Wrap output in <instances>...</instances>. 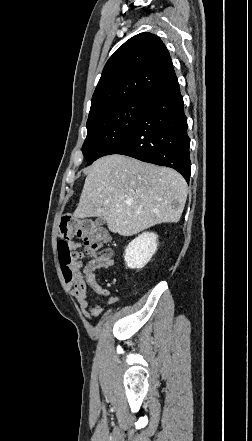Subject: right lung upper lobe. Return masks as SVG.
<instances>
[{"label":"right lung upper lobe","instance_id":"cb5924a9","mask_svg":"<svg viewBox=\"0 0 252 441\" xmlns=\"http://www.w3.org/2000/svg\"><path fill=\"white\" fill-rule=\"evenodd\" d=\"M174 76L169 52L161 39L151 33L135 35L107 61L91 100L89 116L143 98Z\"/></svg>","mask_w":252,"mask_h":441}]
</instances>
